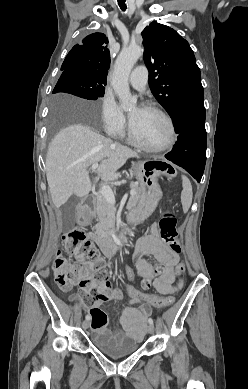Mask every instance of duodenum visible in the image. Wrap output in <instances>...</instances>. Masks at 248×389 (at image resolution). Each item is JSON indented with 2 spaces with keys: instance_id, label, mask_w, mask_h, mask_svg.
Segmentation results:
<instances>
[{
  "instance_id": "obj_1",
  "label": "duodenum",
  "mask_w": 248,
  "mask_h": 389,
  "mask_svg": "<svg viewBox=\"0 0 248 389\" xmlns=\"http://www.w3.org/2000/svg\"><path fill=\"white\" fill-rule=\"evenodd\" d=\"M96 206V201L94 198L90 197L87 199L86 203L81 205L78 209V218L81 224H85L91 210ZM126 238L122 237L121 239H116L114 241L100 238L98 240V245L103 255L106 258H114L125 246Z\"/></svg>"
}]
</instances>
